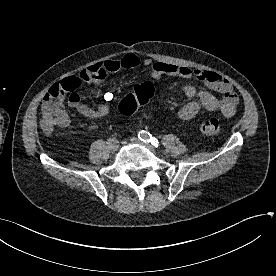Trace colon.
<instances>
[{
    "label": "colon",
    "instance_id": "colon-1",
    "mask_svg": "<svg viewBox=\"0 0 276 276\" xmlns=\"http://www.w3.org/2000/svg\"><path fill=\"white\" fill-rule=\"evenodd\" d=\"M77 79H64L54 84L48 91V105L42 110L41 127L44 132L51 133L68 124V118L63 110L62 99L72 95L80 87ZM156 94V87L151 82L138 84L132 93L127 94L119 104V110L124 115L133 114L140 106L147 104ZM201 133L217 135L221 132V124L218 119L210 118L199 125Z\"/></svg>",
    "mask_w": 276,
    "mask_h": 276
}]
</instances>
